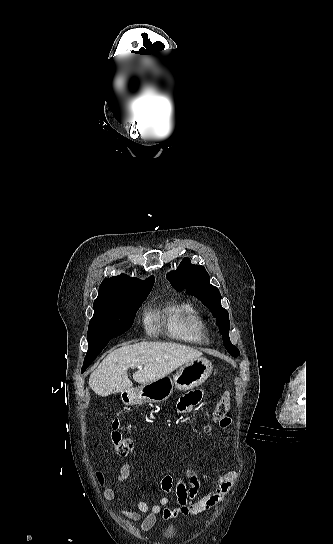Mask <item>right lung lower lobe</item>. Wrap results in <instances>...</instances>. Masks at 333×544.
Wrapping results in <instances>:
<instances>
[{
  "mask_svg": "<svg viewBox=\"0 0 333 544\" xmlns=\"http://www.w3.org/2000/svg\"><path fill=\"white\" fill-rule=\"evenodd\" d=\"M88 366H89V365H88ZM88 366H87V367H88ZM87 367H83V368H82V372H84V371L87 369Z\"/></svg>",
  "mask_w": 333,
  "mask_h": 544,
  "instance_id": "right-lung-lower-lobe-1",
  "label": "right lung lower lobe"
}]
</instances>
